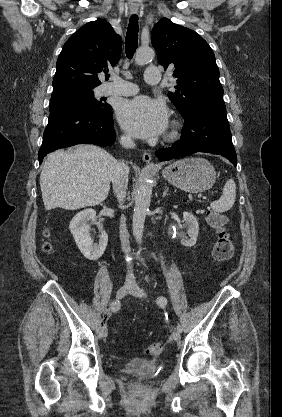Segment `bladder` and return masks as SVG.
I'll return each instance as SVG.
<instances>
[{
    "mask_svg": "<svg viewBox=\"0 0 282 417\" xmlns=\"http://www.w3.org/2000/svg\"><path fill=\"white\" fill-rule=\"evenodd\" d=\"M123 371L135 378L150 379L159 371V366L151 360L131 358L123 364Z\"/></svg>",
    "mask_w": 282,
    "mask_h": 417,
    "instance_id": "31cf9c89",
    "label": "bladder"
}]
</instances>
